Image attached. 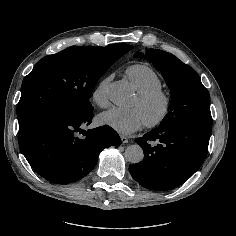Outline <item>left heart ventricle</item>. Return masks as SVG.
I'll list each match as a JSON object with an SVG mask.
<instances>
[{
	"label": "left heart ventricle",
	"instance_id": "b2bd125f",
	"mask_svg": "<svg viewBox=\"0 0 236 236\" xmlns=\"http://www.w3.org/2000/svg\"><path fill=\"white\" fill-rule=\"evenodd\" d=\"M133 105H135L140 110V112L142 113L145 119V122L155 118L161 111L160 104L156 103L150 106H142L138 103L137 98L135 99V102Z\"/></svg>",
	"mask_w": 236,
	"mask_h": 236
}]
</instances>
